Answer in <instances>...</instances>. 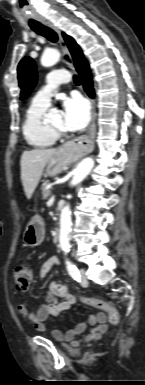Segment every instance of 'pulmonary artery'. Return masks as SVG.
Listing matches in <instances>:
<instances>
[{
	"instance_id": "1",
	"label": "pulmonary artery",
	"mask_w": 145,
	"mask_h": 385,
	"mask_svg": "<svg viewBox=\"0 0 145 385\" xmlns=\"http://www.w3.org/2000/svg\"><path fill=\"white\" fill-rule=\"evenodd\" d=\"M70 81V75L65 70H54L47 75V85L34 96L33 101L38 104L49 106L51 97L56 88Z\"/></svg>"
}]
</instances>
